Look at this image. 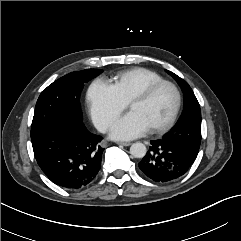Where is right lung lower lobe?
<instances>
[{
	"mask_svg": "<svg viewBox=\"0 0 241 241\" xmlns=\"http://www.w3.org/2000/svg\"><path fill=\"white\" fill-rule=\"evenodd\" d=\"M102 137L90 133L80 121H62L32 139L38 165L55 184L79 189L91 183L104 149Z\"/></svg>",
	"mask_w": 241,
	"mask_h": 241,
	"instance_id": "obj_1",
	"label": "right lung lower lobe"
}]
</instances>
